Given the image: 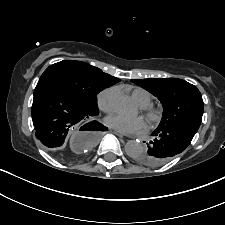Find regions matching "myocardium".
<instances>
[{
	"label": "myocardium",
	"instance_id": "myocardium-1",
	"mask_svg": "<svg viewBox=\"0 0 225 225\" xmlns=\"http://www.w3.org/2000/svg\"><path fill=\"white\" fill-rule=\"evenodd\" d=\"M141 111L151 125L158 124L162 119V111L152 105L141 106Z\"/></svg>",
	"mask_w": 225,
	"mask_h": 225
}]
</instances>
